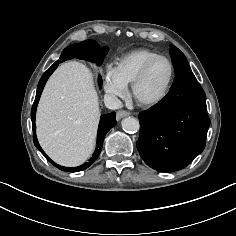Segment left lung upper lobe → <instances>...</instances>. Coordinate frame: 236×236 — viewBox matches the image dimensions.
Masks as SVG:
<instances>
[{
    "label": "left lung upper lobe",
    "mask_w": 236,
    "mask_h": 236,
    "mask_svg": "<svg viewBox=\"0 0 236 236\" xmlns=\"http://www.w3.org/2000/svg\"><path fill=\"white\" fill-rule=\"evenodd\" d=\"M170 55L175 66V72L178 73L185 69H190L184 54L175 46H170Z\"/></svg>",
    "instance_id": "1"
}]
</instances>
